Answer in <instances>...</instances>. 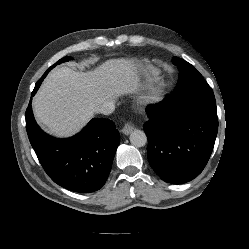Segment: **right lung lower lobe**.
Returning a JSON list of instances; mask_svg holds the SVG:
<instances>
[{"instance_id": "98d812e1", "label": "right lung lower lobe", "mask_w": 249, "mask_h": 249, "mask_svg": "<svg viewBox=\"0 0 249 249\" xmlns=\"http://www.w3.org/2000/svg\"><path fill=\"white\" fill-rule=\"evenodd\" d=\"M42 81L40 79L36 83L32 96ZM25 118L30 143L55 183L82 193L94 192L104 185L119 144V133L111 120L93 118L77 135L57 139L37 125L31 101Z\"/></svg>"}]
</instances>
